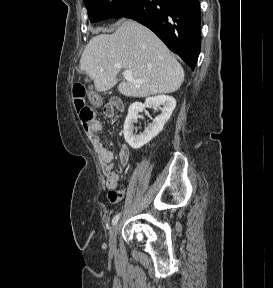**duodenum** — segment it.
<instances>
[{"label":"duodenum","instance_id":"410a0bca","mask_svg":"<svg viewBox=\"0 0 273 288\" xmlns=\"http://www.w3.org/2000/svg\"><path fill=\"white\" fill-rule=\"evenodd\" d=\"M112 103H113L114 105H117V102H116V101H113Z\"/></svg>","mask_w":273,"mask_h":288}]
</instances>
